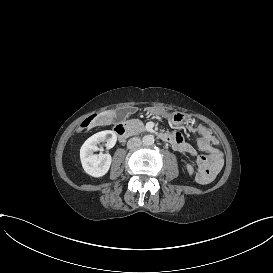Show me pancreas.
I'll list each match as a JSON object with an SVG mask.
<instances>
[{"instance_id": "1", "label": "pancreas", "mask_w": 273, "mask_h": 273, "mask_svg": "<svg viewBox=\"0 0 273 273\" xmlns=\"http://www.w3.org/2000/svg\"><path fill=\"white\" fill-rule=\"evenodd\" d=\"M126 124L130 127L135 133L146 131L144 123L140 119H131L127 120Z\"/></svg>"}]
</instances>
